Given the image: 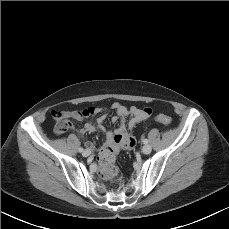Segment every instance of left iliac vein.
Wrapping results in <instances>:
<instances>
[{
	"label": "left iliac vein",
	"instance_id": "left-iliac-vein-1",
	"mask_svg": "<svg viewBox=\"0 0 229 229\" xmlns=\"http://www.w3.org/2000/svg\"><path fill=\"white\" fill-rule=\"evenodd\" d=\"M151 151H152V147H151L150 145H144V146L142 147V152H143L144 154H149Z\"/></svg>",
	"mask_w": 229,
	"mask_h": 229
}]
</instances>
